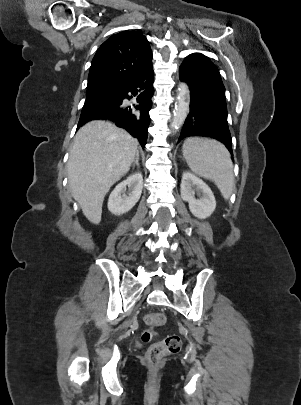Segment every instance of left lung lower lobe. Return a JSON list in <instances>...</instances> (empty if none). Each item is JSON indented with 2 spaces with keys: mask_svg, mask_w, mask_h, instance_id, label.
Returning a JSON list of instances; mask_svg holds the SVG:
<instances>
[{
  "mask_svg": "<svg viewBox=\"0 0 301 405\" xmlns=\"http://www.w3.org/2000/svg\"><path fill=\"white\" fill-rule=\"evenodd\" d=\"M179 77L190 88V112L178 142L191 136L210 137L232 152L227 121L225 88L218 68L205 55H188L179 68Z\"/></svg>",
  "mask_w": 301,
  "mask_h": 405,
  "instance_id": "obj_1",
  "label": "left lung lower lobe"
}]
</instances>
